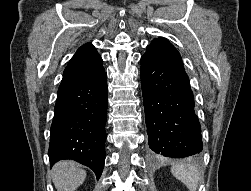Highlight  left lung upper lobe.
Returning a JSON list of instances; mask_svg holds the SVG:
<instances>
[{
  "label": "left lung upper lobe",
  "instance_id": "1",
  "mask_svg": "<svg viewBox=\"0 0 251 191\" xmlns=\"http://www.w3.org/2000/svg\"><path fill=\"white\" fill-rule=\"evenodd\" d=\"M147 50L155 51L157 54L165 57L166 59L183 66L182 58L176 48L164 38L154 39Z\"/></svg>",
  "mask_w": 251,
  "mask_h": 191
}]
</instances>
